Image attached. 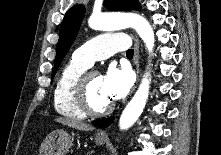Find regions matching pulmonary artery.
<instances>
[{"label":"pulmonary artery","mask_w":221,"mask_h":155,"mask_svg":"<svg viewBox=\"0 0 221 155\" xmlns=\"http://www.w3.org/2000/svg\"><path fill=\"white\" fill-rule=\"evenodd\" d=\"M129 48V39L122 33H105L98 35L73 53V59L90 67L95 61L105 59L116 52Z\"/></svg>","instance_id":"1"}]
</instances>
